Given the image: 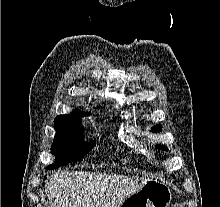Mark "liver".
I'll return each instance as SVG.
<instances>
[{
	"mask_svg": "<svg viewBox=\"0 0 220 207\" xmlns=\"http://www.w3.org/2000/svg\"><path fill=\"white\" fill-rule=\"evenodd\" d=\"M146 180L89 171L54 173L45 182L50 207H119Z\"/></svg>",
	"mask_w": 220,
	"mask_h": 207,
	"instance_id": "6515ba94",
	"label": "liver"
}]
</instances>
